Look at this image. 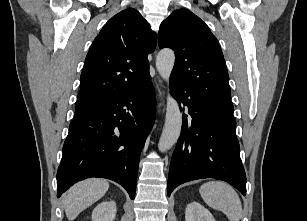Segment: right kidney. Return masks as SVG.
<instances>
[{
	"mask_svg": "<svg viewBox=\"0 0 307 221\" xmlns=\"http://www.w3.org/2000/svg\"><path fill=\"white\" fill-rule=\"evenodd\" d=\"M116 216V203L114 201L98 204L92 212V221H113Z\"/></svg>",
	"mask_w": 307,
	"mask_h": 221,
	"instance_id": "1",
	"label": "right kidney"
}]
</instances>
